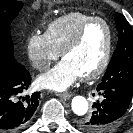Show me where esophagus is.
<instances>
[{"instance_id":"obj_1","label":"esophagus","mask_w":133,"mask_h":133,"mask_svg":"<svg viewBox=\"0 0 133 133\" xmlns=\"http://www.w3.org/2000/svg\"><path fill=\"white\" fill-rule=\"evenodd\" d=\"M59 97L63 100H69L71 98V94L69 93H61L59 94Z\"/></svg>"}]
</instances>
